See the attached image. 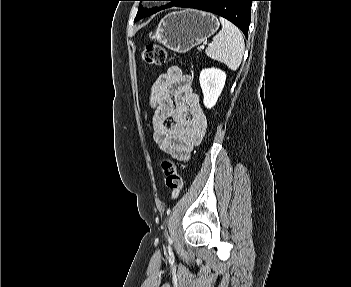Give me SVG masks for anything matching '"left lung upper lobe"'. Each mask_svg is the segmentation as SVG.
I'll list each match as a JSON object with an SVG mask.
<instances>
[{
  "instance_id": "obj_1",
  "label": "left lung upper lobe",
  "mask_w": 351,
  "mask_h": 287,
  "mask_svg": "<svg viewBox=\"0 0 351 287\" xmlns=\"http://www.w3.org/2000/svg\"><path fill=\"white\" fill-rule=\"evenodd\" d=\"M139 1H149V0H139ZM165 1H170L169 4L162 6L161 8H152V9H145L141 4L139 5L138 8V13L136 15L135 21L140 20L141 18H145L147 16H150L154 13H156L157 11L161 10V9H165V8H170L172 6H174L177 2H179L180 0H165Z\"/></svg>"
}]
</instances>
